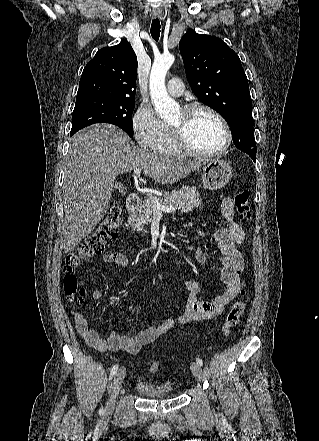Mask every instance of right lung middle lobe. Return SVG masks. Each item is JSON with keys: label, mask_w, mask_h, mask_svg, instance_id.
<instances>
[{"label": "right lung middle lobe", "mask_w": 319, "mask_h": 441, "mask_svg": "<svg viewBox=\"0 0 319 441\" xmlns=\"http://www.w3.org/2000/svg\"><path fill=\"white\" fill-rule=\"evenodd\" d=\"M135 101L111 98L76 99L70 136L94 123L104 122L122 128L133 136L132 113Z\"/></svg>", "instance_id": "right-lung-middle-lobe-1"}]
</instances>
